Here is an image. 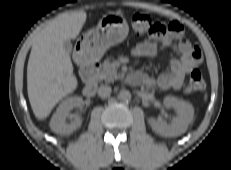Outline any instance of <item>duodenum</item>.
I'll return each instance as SVG.
<instances>
[{
    "instance_id": "1",
    "label": "duodenum",
    "mask_w": 231,
    "mask_h": 170,
    "mask_svg": "<svg viewBox=\"0 0 231 170\" xmlns=\"http://www.w3.org/2000/svg\"><path fill=\"white\" fill-rule=\"evenodd\" d=\"M100 62L96 59H83L81 62V78L85 82L83 93L86 97H92L97 88V70Z\"/></svg>"
}]
</instances>
